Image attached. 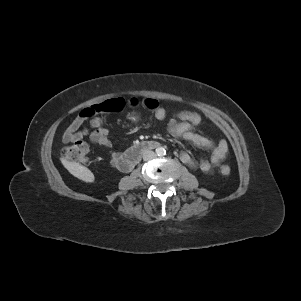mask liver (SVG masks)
I'll use <instances>...</instances> for the list:
<instances>
[{
  "label": "liver",
  "mask_w": 301,
  "mask_h": 301,
  "mask_svg": "<svg viewBox=\"0 0 301 301\" xmlns=\"http://www.w3.org/2000/svg\"><path fill=\"white\" fill-rule=\"evenodd\" d=\"M63 166L75 177L85 181V182H93L94 175L93 173L83 165H80L75 162H70L65 159H61Z\"/></svg>",
  "instance_id": "obj_1"
}]
</instances>
